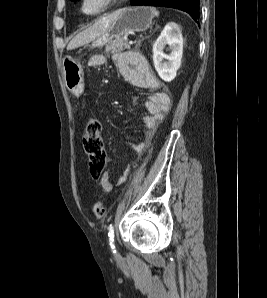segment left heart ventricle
<instances>
[{
  "label": "left heart ventricle",
  "instance_id": "left-heart-ventricle-1",
  "mask_svg": "<svg viewBox=\"0 0 267 298\" xmlns=\"http://www.w3.org/2000/svg\"><path fill=\"white\" fill-rule=\"evenodd\" d=\"M104 3V0H88L86 3V10L88 12H94L98 10Z\"/></svg>",
  "mask_w": 267,
  "mask_h": 298
}]
</instances>
